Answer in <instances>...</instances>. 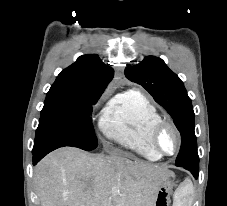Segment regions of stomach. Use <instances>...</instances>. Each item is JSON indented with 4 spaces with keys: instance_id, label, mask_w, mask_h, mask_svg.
Here are the masks:
<instances>
[{
    "instance_id": "obj_1",
    "label": "stomach",
    "mask_w": 227,
    "mask_h": 206,
    "mask_svg": "<svg viewBox=\"0 0 227 206\" xmlns=\"http://www.w3.org/2000/svg\"><path fill=\"white\" fill-rule=\"evenodd\" d=\"M172 190L173 182L168 179L158 189L153 206H169Z\"/></svg>"
}]
</instances>
